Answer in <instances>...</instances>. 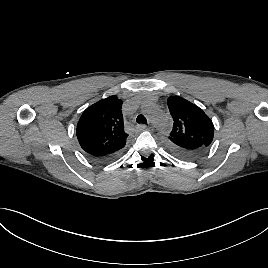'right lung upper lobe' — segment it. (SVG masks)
<instances>
[{
    "label": "right lung upper lobe",
    "mask_w": 268,
    "mask_h": 268,
    "mask_svg": "<svg viewBox=\"0 0 268 268\" xmlns=\"http://www.w3.org/2000/svg\"><path fill=\"white\" fill-rule=\"evenodd\" d=\"M122 101L116 96L102 99L88 107L77 124V138L82 149L91 156L119 152L126 144Z\"/></svg>",
    "instance_id": "right-lung-upper-lobe-1"
}]
</instances>
